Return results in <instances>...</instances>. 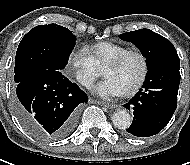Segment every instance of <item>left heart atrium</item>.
I'll return each mask as SVG.
<instances>
[{"instance_id": "1", "label": "left heart atrium", "mask_w": 190, "mask_h": 165, "mask_svg": "<svg viewBox=\"0 0 190 165\" xmlns=\"http://www.w3.org/2000/svg\"><path fill=\"white\" fill-rule=\"evenodd\" d=\"M94 91L103 97H115L123 93V90L110 78H106L95 86Z\"/></svg>"}]
</instances>
